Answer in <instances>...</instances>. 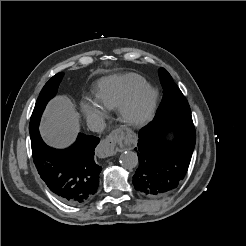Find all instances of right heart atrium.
I'll return each mask as SVG.
<instances>
[{
	"instance_id": "1",
	"label": "right heart atrium",
	"mask_w": 246,
	"mask_h": 246,
	"mask_svg": "<svg viewBox=\"0 0 246 246\" xmlns=\"http://www.w3.org/2000/svg\"><path fill=\"white\" fill-rule=\"evenodd\" d=\"M80 110L92 125L100 124L107 116L106 109L96 100L90 97H84L80 102Z\"/></svg>"
}]
</instances>
